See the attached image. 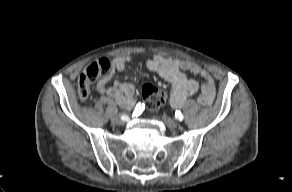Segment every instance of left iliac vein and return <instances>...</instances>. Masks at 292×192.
<instances>
[{"mask_svg":"<svg viewBox=\"0 0 292 192\" xmlns=\"http://www.w3.org/2000/svg\"><path fill=\"white\" fill-rule=\"evenodd\" d=\"M163 121L170 129H175L178 126V123L169 117L164 116Z\"/></svg>","mask_w":292,"mask_h":192,"instance_id":"left-iliac-vein-1","label":"left iliac vein"}]
</instances>
